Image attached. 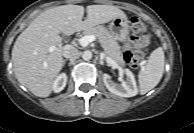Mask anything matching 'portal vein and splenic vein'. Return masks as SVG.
<instances>
[{"instance_id":"portal-vein-and-splenic-vein-1","label":"portal vein and splenic vein","mask_w":194,"mask_h":133,"mask_svg":"<svg viewBox=\"0 0 194 133\" xmlns=\"http://www.w3.org/2000/svg\"><path fill=\"white\" fill-rule=\"evenodd\" d=\"M96 37L94 35H88V36H84L82 38L79 39V43L81 46L85 47L87 46L89 43L95 41ZM55 50V47L52 46L49 48V52H52Z\"/></svg>"}]
</instances>
